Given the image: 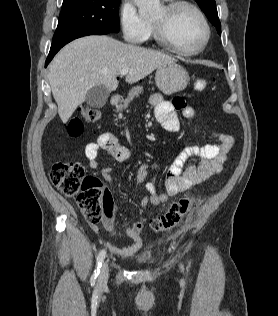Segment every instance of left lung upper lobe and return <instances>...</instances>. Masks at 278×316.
Returning <instances> with one entry per match:
<instances>
[{
  "mask_svg": "<svg viewBox=\"0 0 278 316\" xmlns=\"http://www.w3.org/2000/svg\"><path fill=\"white\" fill-rule=\"evenodd\" d=\"M196 2L206 14L209 21L216 27L218 34L221 35V24L218 18L215 0H196Z\"/></svg>",
  "mask_w": 278,
  "mask_h": 316,
  "instance_id": "1",
  "label": "left lung upper lobe"
}]
</instances>
